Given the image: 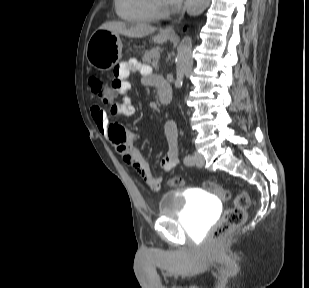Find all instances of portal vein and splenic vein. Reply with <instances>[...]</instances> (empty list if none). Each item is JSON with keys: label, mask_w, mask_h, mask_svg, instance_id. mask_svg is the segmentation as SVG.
Masks as SVG:
<instances>
[{"label": "portal vein and splenic vein", "mask_w": 309, "mask_h": 288, "mask_svg": "<svg viewBox=\"0 0 309 288\" xmlns=\"http://www.w3.org/2000/svg\"><path fill=\"white\" fill-rule=\"evenodd\" d=\"M157 63H158V62H153V63H152V65H153V66H156V65H157Z\"/></svg>", "instance_id": "portal-vein-and-splenic-vein-1"}]
</instances>
